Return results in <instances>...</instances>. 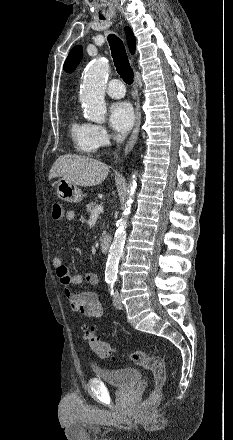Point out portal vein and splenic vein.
<instances>
[{"label": "portal vein and splenic vein", "instance_id": "obj_1", "mask_svg": "<svg viewBox=\"0 0 233 440\" xmlns=\"http://www.w3.org/2000/svg\"><path fill=\"white\" fill-rule=\"evenodd\" d=\"M102 211H103V206L99 205L93 210L92 215L100 214Z\"/></svg>", "mask_w": 233, "mask_h": 440}]
</instances>
